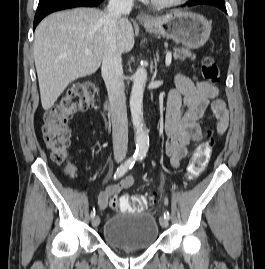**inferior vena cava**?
<instances>
[{"label":"inferior vena cava","instance_id":"inferior-vena-cava-1","mask_svg":"<svg viewBox=\"0 0 265 269\" xmlns=\"http://www.w3.org/2000/svg\"><path fill=\"white\" fill-rule=\"evenodd\" d=\"M133 0H110L104 17L105 51L101 73L107 87L112 120L114 158L123 160L128 148V121L122 82V58L116 35L118 21L131 12Z\"/></svg>","mask_w":265,"mask_h":269}]
</instances>
